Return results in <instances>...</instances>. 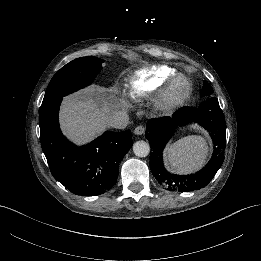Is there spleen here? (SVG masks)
Wrapping results in <instances>:
<instances>
[{"instance_id":"3e777b00","label":"spleen","mask_w":261,"mask_h":261,"mask_svg":"<svg viewBox=\"0 0 261 261\" xmlns=\"http://www.w3.org/2000/svg\"><path fill=\"white\" fill-rule=\"evenodd\" d=\"M206 143L197 136L180 139L166 150L168 166L176 172H189L203 164Z\"/></svg>"}]
</instances>
